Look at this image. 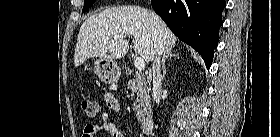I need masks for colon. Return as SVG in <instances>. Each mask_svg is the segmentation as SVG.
Wrapping results in <instances>:
<instances>
[{
	"label": "colon",
	"mask_w": 280,
	"mask_h": 137,
	"mask_svg": "<svg viewBox=\"0 0 280 137\" xmlns=\"http://www.w3.org/2000/svg\"><path fill=\"white\" fill-rule=\"evenodd\" d=\"M81 108L84 111V113L89 117H94L97 115L99 111V105L92 100L84 99L81 102ZM84 134V132H83ZM92 135H90L91 137Z\"/></svg>",
	"instance_id": "1"
}]
</instances>
